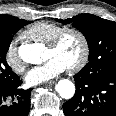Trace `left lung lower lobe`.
Wrapping results in <instances>:
<instances>
[{
	"instance_id": "obj_1",
	"label": "left lung lower lobe",
	"mask_w": 116,
	"mask_h": 116,
	"mask_svg": "<svg viewBox=\"0 0 116 116\" xmlns=\"http://www.w3.org/2000/svg\"><path fill=\"white\" fill-rule=\"evenodd\" d=\"M76 93L63 104L65 116H116V73L74 75Z\"/></svg>"
}]
</instances>
